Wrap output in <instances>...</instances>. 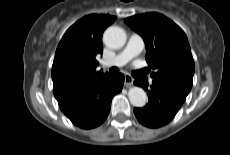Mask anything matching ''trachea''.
I'll return each mask as SVG.
<instances>
[{"instance_id": "obj_1", "label": "trachea", "mask_w": 230, "mask_h": 155, "mask_svg": "<svg viewBox=\"0 0 230 155\" xmlns=\"http://www.w3.org/2000/svg\"><path fill=\"white\" fill-rule=\"evenodd\" d=\"M119 72V69L117 68V67H112L111 69H110V73L111 74H117Z\"/></svg>"}]
</instances>
